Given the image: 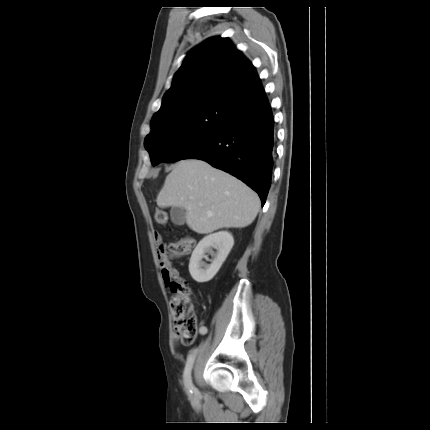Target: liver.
Segmentation results:
<instances>
[{
  "mask_svg": "<svg viewBox=\"0 0 430 430\" xmlns=\"http://www.w3.org/2000/svg\"><path fill=\"white\" fill-rule=\"evenodd\" d=\"M160 208L186 209V222L199 234L244 228L256 218L258 195L231 174L200 159L179 161L167 175L157 199Z\"/></svg>",
  "mask_w": 430,
  "mask_h": 430,
  "instance_id": "obj_1",
  "label": "liver"
}]
</instances>
